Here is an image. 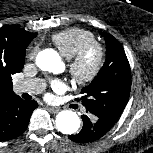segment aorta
<instances>
[{
  "label": "aorta",
  "mask_w": 153,
  "mask_h": 153,
  "mask_svg": "<svg viewBox=\"0 0 153 153\" xmlns=\"http://www.w3.org/2000/svg\"><path fill=\"white\" fill-rule=\"evenodd\" d=\"M36 64L41 70L53 73L59 72L62 65L60 56L53 50L40 51L36 57ZM80 123L79 116L71 110L61 111L55 120L58 131L67 135L77 132Z\"/></svg>",
  "instance_id": "aorta-1"
}]
</instances>
